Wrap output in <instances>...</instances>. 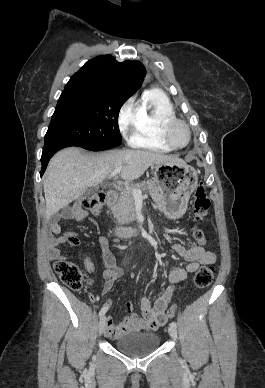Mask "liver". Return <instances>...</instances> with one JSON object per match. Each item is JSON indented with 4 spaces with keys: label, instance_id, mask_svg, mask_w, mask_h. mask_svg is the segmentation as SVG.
Masks as SVG:
<instances>
[{
    "label": "liver",
    "instance_id": "liver-1",
    "mask_svg": "<svg viewBox=\"0 0 265 388\" xmlns=\"http://www.w3.org/2000/svg\"><path fill=\"white\" fill-rule=\"evenodd\" d=\"M177 164L184 160L165 156L149 150H120L98 156H83L79 148H65L53 156L44 174L46 218L66 208L70 202L85 194L87 188L98 186L114 172L117 166H125L119 174L121 180H138L153 164Z\"/></svg>",
    "mask_w": 265,
    "mask_h": 388
}]
</instances>
